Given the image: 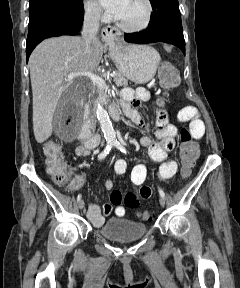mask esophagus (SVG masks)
Segmentation results:
<instances>
[{
	"label": "esophagus",
	"mask_w": 240,
	"mask_h": 288,
	"mask_svg": "<svg viewBox=\"0 0 240 288\" xmlns=\"http://www.w3.org/2000/svg\"><path fill=\"white\" fill-rule=\"evenodd\" d=\"M119 35L120 33L118 30L112 26H108L102 29V37L108 44L117 41Z\"/></svg>",
	"instance_id": "34e87169"
}]
</instances>
